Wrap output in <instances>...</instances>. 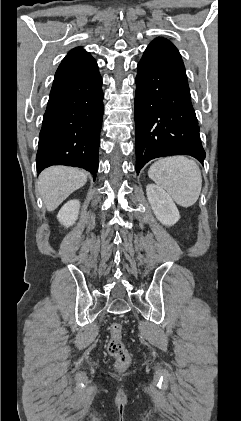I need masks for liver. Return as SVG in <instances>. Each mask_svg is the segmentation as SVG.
<instances>
[{"instance_id":"obj_1","label":"liver","mask_w":241,"mask_h":421,"mask_svg":"<svg viewBox=\"0 0 241 421\" xmlns=\"http://www.w3.org/2000/svg\"><path fill=\"white\" fill-rule=\"evenodd\" d=\"M87 173L77 168L53 166L38 178L37 190L48 211H54L70 194L84 186Z\"/></svg>"}]
</instances>
